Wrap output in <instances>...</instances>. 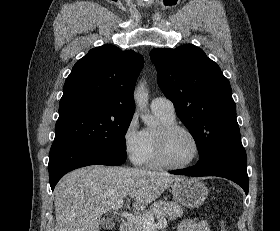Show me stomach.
Segmentation results:
<instances>
[{
	"mask_svg": "<svg viewBox=\"0 0 280 231\" xmlns=\"http://www.w3.org/2000/svg\"><path fill=\"white\" fill-rule=\"evenodd\" d=\"M174 199L185 207H200L204 203L208 189L204 183L195 177H178L172 185Z\"/></svg>",
	"mask_w": 280,
	"mask_h": 231,
	"instance_id": "stomach-1",
	"label": "stomach"
}]
</instances>
